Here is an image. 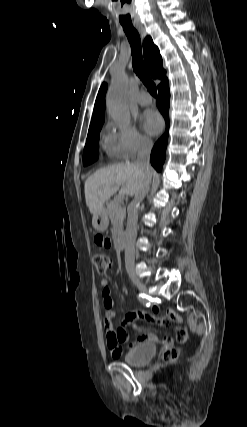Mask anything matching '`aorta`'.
<instances>
[{
  "instance_id": "obj_1",
  "label": "aorta",
  "mask_w": 247,
  "mask_h": 427,
  "mask_svg": "<svg viewBox=\"0 0 247 427\" xmlns=\"http://www.w3.org/2000/svg\"><path fill=\"white\" fill-rule=\"evenodd\" d=\"M128 92V77L124 72H118L107 92V112L110 118L119 124H129L131 117L126 104Z\"/></svg>"
}]
</instances>
